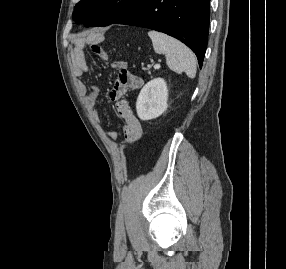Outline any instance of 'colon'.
Returning <instances> with one entry per match:
<instances>
[{"instance_id": "colon-1", "label": "colon", "mask_w": 286, "mask_h": 269, "mask_svg": "<svg viewBox=\"0 0 286 269\" xmlns=\"http://www.w3.org/2000/svg\"><path fill=\"white\" fill-rule=\"evenodd\" d=\"M92 48L96 51H102V48L98 44H93ZM128 66H131V61L119 60L115 65V70H118V79L115 83V88H119V91H137V88H142L143 78H136L129 70Z\"/></svg>"}]
</instances>
